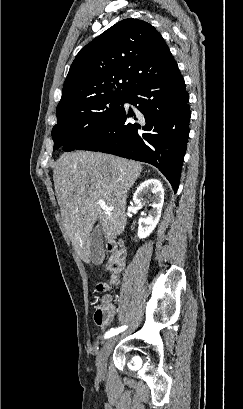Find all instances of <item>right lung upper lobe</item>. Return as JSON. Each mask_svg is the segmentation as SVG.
Listing matches in <instances>:
<instances>
[{
	"label": "right lung upper lobe",
	"instance_id": "cb5924a9",
	"mask_svg": "<svg viewBox=\"0 0 243 409\" xmlns=\"http://www.w3.org/2000/svg\"><path fill=\"white\" fill-rule=\"evenodd\" d=\"M178 69L160 33L138 19L122 20L76 55L57 110L100 96H126L138 85ZM118 87L116 91L112 88Z\"/></svg>",
	"mask_w": 243,
	"mask_h": 409
}]
</instances>
